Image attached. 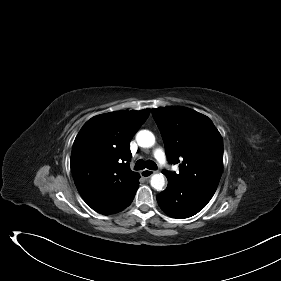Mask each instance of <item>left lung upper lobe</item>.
<instances>
[{
    "label": "left lung upper lobe",
    "instance_id": "5c2ea615",
    "mask_svg": "<svg viewBox=\"0 0 281 281\" xmlns=\"http://www.w3.org/2000/svg\"><path fill=\"white\" fill-rule=\"evenodd\" d=\"M170 163L179 174L163 170L168 180L189 183L215 193L223 171V140L207 116L169 106L152 110Z\"/></svg>",
    "mask_w": 281,
    "mask_h": 281
}]
</instances>
